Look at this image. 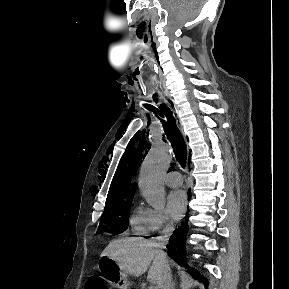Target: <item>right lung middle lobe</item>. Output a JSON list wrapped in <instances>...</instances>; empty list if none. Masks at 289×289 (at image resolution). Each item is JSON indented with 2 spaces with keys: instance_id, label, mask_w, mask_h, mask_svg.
Segmentation results:
<instances>
[{
  "instance_id": "1",
  "label": "right lung middle lobe",
  "mask_w": 289,
  "mask_h": 289,
  "mask_svg": "<svg viewBox=\"0 0 289 289\" xmlns=\"http://www.w3.org/2000/svg\"><path fill=\"white\" fill-rule=\"evenodd\" d=\"M132 203V198L121 203H106L104 214L100 220V231L103 230L102 224L106 223L111 228H115V232H123L129 224V208Z\"/></svg>"
}]
</instances>
